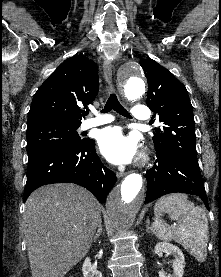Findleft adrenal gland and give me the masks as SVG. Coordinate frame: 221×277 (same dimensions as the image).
I'll return each instance as SVG.
<instances>
[{
    "label": "left adrenal gland",
    "mask_w": 221,
    "mask_h": 277,
    "mask_svg": "<svg viewBox=\"0 0 221 277\" xmlns=\"http://www.w3.org/2000/svg\"><path fill=\"white\" fill-rule=\"evenodd\" d=\"M146 232L147 233L152 232V229L150 227V220L149 219L146 220Z\"/></svg>",
    "instance_id": "left-adrenal-gland-1"
}]
</instances>
